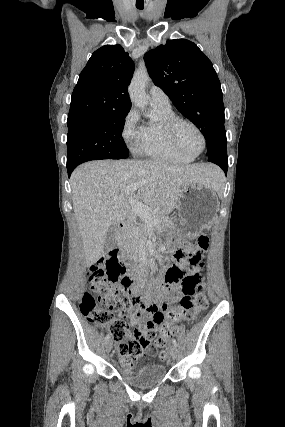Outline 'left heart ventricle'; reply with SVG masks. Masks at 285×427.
I'll use <instances>...</instances> for the list:
<instances>
[{"instance_id":"left-heart-ventricle-1","label":"left heart ventricle","mask_w":285,"mask_h":427,"mask_svg":"<svg viewBox=\"0 0 285 427\" xmlns=\"http://www.w3.org/2000/svg\"><path fill=\"white\" fill-rule=\"evenodd\" d=\"M180 145L190 154L198 153L202 148L199 134L189 125H181L177 130Z\"/></svg>"}]
</instances>
